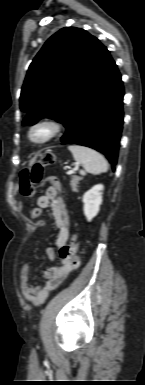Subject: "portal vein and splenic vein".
I'll return each mask as SVG.
<instances>
[{"label":"portal vein and splenic vein","instance_id":"18ae733b","mask_svg":"<svg viewBox=\"0 0 145 385\" xmlns=\"http://www.w3.org/2000/svg\"><path fill=\"white\" fill-rule=\"evenodd\" d=\"M78 168H79V165H75V167L72 170H70L69 173H72V172L78 170Z\"/></svg>","mask_w":145,"mask_h":385}]
</instances>
